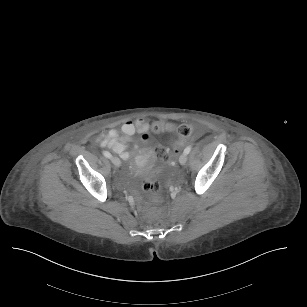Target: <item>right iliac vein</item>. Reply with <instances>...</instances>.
Instances as JSON below:
<instances>
[{
  "mask_svg": "<svg viewBox=\"0 0 307 307\" xmlns=\"http://www.w3.org/2000/svg\"><path fill=\"white\" fill-rule=\"evenodd\" d=\"M110 160H111L112 164L116 167H119L121 165L119 158L116 157V156H112Z\"/></svg>",
  "mask_w": 307,
  "mask_h": 307,
  "instance_id": "63e3f726",
  "label": "right iliac vein"
}]
</instances>
